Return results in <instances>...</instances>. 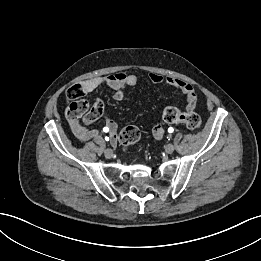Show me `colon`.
Returning a JSON list of instances; mask_svg holds the SVG:
<instances>
[{
  "label": "colon",
  "instance_id": "1",
  "mask_svg": "<svg viewBox=\"0 0 261 261\" xmlns=\"http://www.w3.org/2000/svg\"><path fill=\"white\" fill-rule=\"evenodd\" d=\"M85 95L80 84H75L67 90V97L74 102L69 107V114L73 117H84L93 122L103 115V110L97 101L89 103L81 98ZM162 118L166 123H183L189 129H198L201 124L200 116L195 112L183 113L176 107L164 109ZM140 139V131L135 126H127L119 134V142L123 150H128Z\"/></svg>",
  "mask_w": 261,
  "mask_h": 261
}]
</instances>
